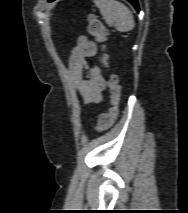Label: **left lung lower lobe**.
Wrapping results in <instances>:
<instances>
[{
    "instance_id": "0a47b994",
    "label": "left lung lower lobe",
    "mask_w": 188,
    "mask_h": 213,
    "mask_svg": "<svg viewBox=\"0 0 188 213\" xmlns=\"http://www.w3.org/2000/svg\"><path fill=\"white\" fill-rule=\"evenodd\" d=\"M49 1H54V0H49ZM127 1H129L136 8L137 11H139L137 0H127Z\"/></svg>"
}]
</instances>
